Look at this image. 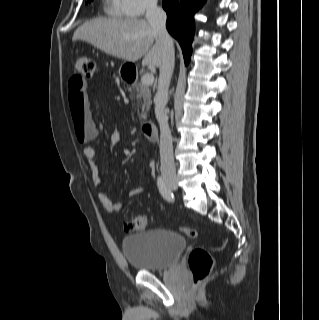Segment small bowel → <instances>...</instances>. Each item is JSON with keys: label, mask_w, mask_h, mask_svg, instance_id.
<instances>
[{"label": "small bowel", "mask_w": 319, "mask_h": 320, "mask_svg": "<svg viewBox=\"0 0 319 320\" xmlns=\"http://www.w3.org/2000/svg\"><path fill=\"white\" fill-rule=\"evenodd\" d=\"M68 86H69L68 99H69L70 111L72 116L75 113L83 114L87 118L91 126L93 127L95 137H97L101 133L103 127L100 124H96L91 118L90 111H89V101H88L87 92H86L87 83L84 80L78 78L77 76H73L72 78H70ZM119 140H120L119 133L112 132L109 137V146L111 147L115 146L119 142ZM83 154L86 160L89 162L91 182L96 188L99 189L97 193L99 202L102 204V206L107 212L113 213V212L120 211L122 208V204L120 202L113 201L105 191L100 189L102 184V178L100 175L99 166L96 162L95 149L92 146H86L83 149ZM148 167L151 170H154L155 164L152 161H150L148 163ZM144 190L145 189L143 187L132 188L127 191V196L129 198L136 197L142 194Z\"/></svg>", "instance_id": "c3829d8e"}]
</instances>
